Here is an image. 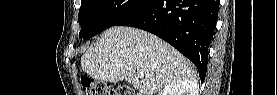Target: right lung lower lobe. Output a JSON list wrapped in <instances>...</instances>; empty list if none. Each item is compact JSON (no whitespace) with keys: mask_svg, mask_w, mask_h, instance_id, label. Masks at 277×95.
<instances>
[{"mask_svg":"<svg viewBox=\"0 0 277 95\" xmlns=\"http://www.w3.org/2000/svg\"><path fill=\"white\" fill-rule=\"evenodd\" d=\"M218 9L219 0H143L117 25L162 38L197 66L203 82Z\"/></svg>","mask_w":277,"mask_h":95,"instance_id":"obj_1","label":"right lung lower lobe"}]
</instances>
